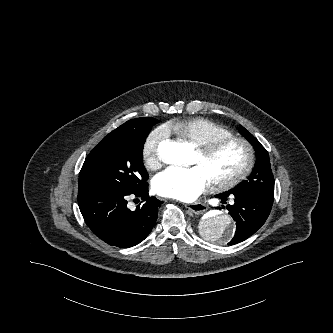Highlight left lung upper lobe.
Masks as SVG:
<instances>
[{
  "label": "left lung upper lobe",
  "instance_id": "left-lung-upper-lobe-1",
  "mask_svg": "<svg viewBox=\"0 0 333 333\" xmlns=\"http://www.w3.org/2000/svg\"><path fill=\"white\" fill-rule=\"evenodd\" d=\"M240 132L254 147L257 154V160L248 179L243 180L235 188L229 190V192H252L274 198V177L270 166L268 152L245 128L242 127Z\"/></svg>",
  "mask_w": 333,
  "mask_h": 333
}]
</instances>
